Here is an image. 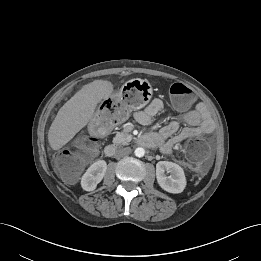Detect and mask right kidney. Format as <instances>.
Listing matches in <instances>:
<instances>
[{
	"instance_id": "right-kidney-1",
	"label": "right kidney",
	"mask_w": 261,
	"mask_h": 261,
	"mask_svg": "<svg viewBox=\"0 0 261 261\" xmlns=\"http://www.w3.org/2000/svg\"><path fill=\"white\" fill-rule=\"evenodd\" d=\"M107 170V163L104 160H98L93 163L81 178V186L85 191H92L103 179Z\"/></svg>"
}]
</instances>
